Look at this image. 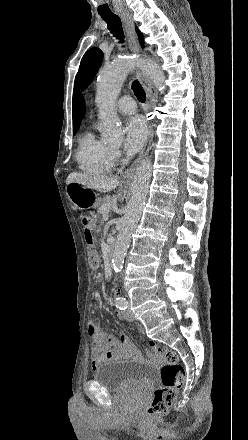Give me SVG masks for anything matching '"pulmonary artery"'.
I'll use <instances>...</instances> for the list:
<instances>
[{"label":"pulmonary artery","instance_id":"pulmonary-artery-1","mask_svg":"<svg viewBox=\"0 0 248 440\" xmlns=\"http://www.w3.org/2000/svg\"><path fill=\"white\" fill-rule=\"evenodd\" d=\"M117 108L122 114H132L136 110V104L131 96L125 95L119 99Z\"/></svg>","mask_w":248,"mask_h":440}]
</instances>
